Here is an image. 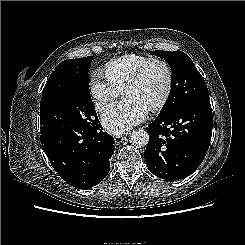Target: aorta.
Returning <instances> with one entry per match:
<instances>
[{
	"label": "aorta",
	"mask_w": 245,
	"mask_h": 245,
	"mask_svg": "<svg viewBox=\"0 0 245 245\" xmlns=\"http://www.w3.org/2000/svg\"><path fill=\"white\" fill-rule=\"evenodd\" d=\"M130 142L136 147H144L148 144L149 135L144 129H136L130 135Z\"/></svg>",
	"instance_id": "obj_1"
}]
</instances>
